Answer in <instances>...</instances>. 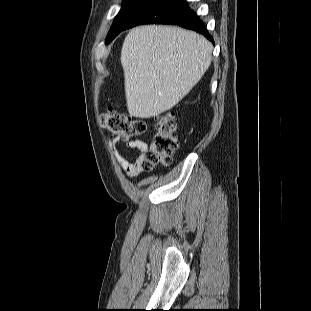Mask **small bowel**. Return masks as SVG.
Returning a JSON list of instances; mask_svg holds the SVG:
<instances>
[{
  "label": "small bowel",
  "instance_id": "obj_1",
  "mask_svg": "<svg viewBox=\"0 0 311 311\" xmlns=\"http://www.w3.org/2000/svg\"><path fill=\"white\" fill-rule=\"evenodd\" d=\"M120 142H125L128 148L136 149L139 151V154L134 161H129L118 150L117 145ZM108 143L115 154L119 167L126 173L128 177L133 178L143 170L142 161L148 151V145L146 142L139 139L125 140L122 136H116L109 138Z\"/></svg>",
  "mask_w": 311,
  "mask_h": 311
}]
</instances>
